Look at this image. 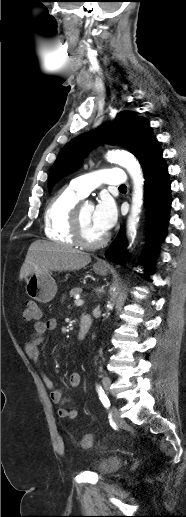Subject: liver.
<instances>
[{
    "label": "liver",
    "mask_w": 186,
    "mask_h": 517,
    "mask_svg": "<svg viewBox=\"0 0 186 517\" xmlns=\"http://www.w3.org/2000/svg\"><path fill=\"white\" fill-rule=\"evenodd\" d=\"M90 262L91 257L87 253L70 246L38 240L30 245L19 278L22 280L32 274L50 271L79 270Z\"/></svg>",
    "instance_id": "obj_1"
}]
</instances>
